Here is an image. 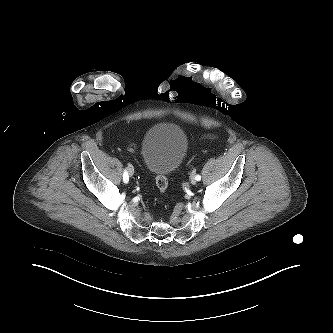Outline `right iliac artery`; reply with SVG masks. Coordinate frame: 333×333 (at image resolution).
I'll list each match as a JSON object with an SVG mask.
<instances>
[{
    "mask_svg": "<svg viewBox=\"0 0 333 333\" xmlns=\"http://www.w3.org/2000/svg\"><path fill=\"white\" fill-rule=\"evenodd\" d=\"M123 181H124V183H127L129 181V173H128L127 169H125L123 172Z\"/></svg>",
    "mask_w": 333,
    "mask_h": 333,
    "instance_id": "82829eb1",
    "label": "right iliac artery"
}]
</instances>
